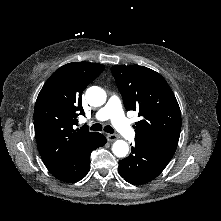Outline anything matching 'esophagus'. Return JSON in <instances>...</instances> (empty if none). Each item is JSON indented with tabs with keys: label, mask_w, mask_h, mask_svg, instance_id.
<instances>
[{
	"label": "esophagus",
	"mask_w": 221,
	"mask_h": 221,
	"mask_svg": "<svg viewBox=\"0 0 221 221\" xmlns=\"http://www.w3.org/2000/svg\"><path fill=\"white\" fill-rule=\"evenodd\" d=\"M118 138L116 134H107L108 141H115Z\"/></svg>",
	"instance_id": "obj_1"
}]
</instances>
